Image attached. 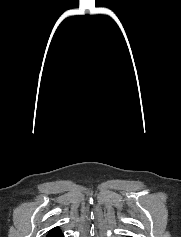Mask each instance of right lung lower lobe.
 <instances>
[{"instance_id": "right-lung-lower-lobe-1", "label": "right lung lower lobe", "mask_w": 181, "mask_h": 237, "mask_svg": "<svg viewBox=\"0 0 181 237\" xmlns=\"http://www.w3.org/2000/svg\"><path fill=\"white\" fill-rule=\"evenodd\" d=\"M48 237V236H47ZM54 237H64V235L60 232L57 235H54Z\"/></svg>"}]
</instances>
